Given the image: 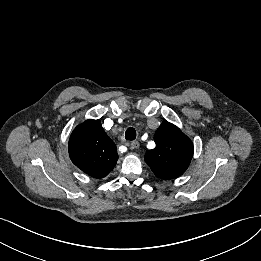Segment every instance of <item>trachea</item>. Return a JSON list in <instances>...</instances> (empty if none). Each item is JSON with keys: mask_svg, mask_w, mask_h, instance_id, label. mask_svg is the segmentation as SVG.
<instances>
[{"mask_svg": "<svg viewBox=\"0 0 261 261\" xmlns=\"http://www.w3.org/2000/svg\"><path fill=\"white\" fill-rule=\"evenodd\" d=\"M136 138V130L132 127H129L125 132V139L132 141Z\"/></svg>", "mask_w": 261, "mask_h": 261, "instance_id": "3493384b", "label": "trachea"}]
</instances>
